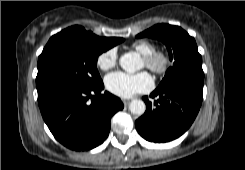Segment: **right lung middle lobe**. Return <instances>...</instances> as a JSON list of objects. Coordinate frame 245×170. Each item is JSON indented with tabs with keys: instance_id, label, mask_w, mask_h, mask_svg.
<instances>
[{
	"instance_id": "obj_1",
	"label": "right lung middle lobe",
	"mask_w": 245,
	"mask_h": 170,
	"mask_svg": "<svg viewBox=\"0 0 245 170\" xmlns=\"http://www.w3.org/2000/svg\"><path fill=\"white\" fill-rule=\"evenodd\" d=\"M110 48L77 35L52 36L38 58V100L59 91L89 89L99 84L102 80L97 59Z\"/></svg>"
}]
</instances>
